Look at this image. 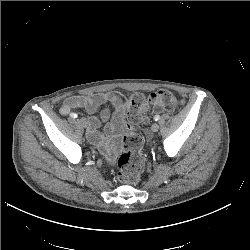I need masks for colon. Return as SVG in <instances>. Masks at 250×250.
Instances as JSON below:
<instances>
[{
    "label": "colon",
    "instance_id": "5ec220e1",
    "mask_svg": "<svg viewBox=\"0 0 250 250\" xmlns=\"http://www.w3.org/2000/svg\"><path fill=\"white\" fill-rule=\"evenodd\" d=\"M181 104L180 98L170 90L161 89L148 97L142 94L133 95L127 103L128 125L145 124L148 121L149 107L158 111L175 112ZM142 137L131 131L123 137L122 154L118 159L117 178L125 184H136L141 178L145 166Z\"/></svg>",
    "mask_w": 250,
    "mask_h": 250
}]
</instances>
